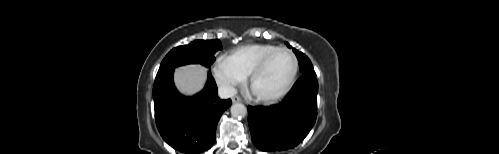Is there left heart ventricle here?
<instances>
[{"instance_id": "1", "label": "left heart ventricle", "mask_w": 499, "mask_h": 154, "mask_svg": "<svg viewBox=\"0 0 499 154\" xmlns=\"http://www.w3.org/2000/svg\"><path fill=\"white\" fill-rule=\"evenodd\" d=\"M293 70V60L289 54L279 52L269 61L266 69L252 85V92L259 96H273L287 83Z\"/></svg>"}]
</instances>
